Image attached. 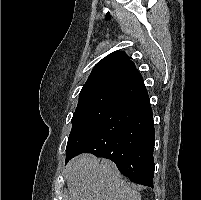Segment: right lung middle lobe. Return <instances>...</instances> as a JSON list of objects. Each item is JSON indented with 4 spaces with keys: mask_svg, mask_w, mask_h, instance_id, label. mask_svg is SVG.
Here are the masks:
<instances>
[{
    "mask_svg": "<svg viewBox=\"0 0 201 200\" xmlns=\"http://www.w3.org/2000/svg\"><path fill=\"white\" fill-rule=\"evenodd\" d=\"M129 101V98L109 91L80 93L67 145L85 128Z\"/></svg>",
    "mask_w": 201,
    "mask_h": 200,
    "instance_id": "dd1d6c3e",
    "label": "right lung middle lobe"
}]
</instances>
